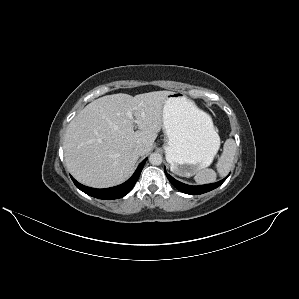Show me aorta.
I'll return each instance as SVG.
<instances>
[{
	"mask_svg": "<svg viewBox=\"0 0 299 299\" xmlns=\"http://www.w3.org/2000/svg\"><path fill=\"white\" fill-rule=\"evenodd\" d=\"M149 162L152 165H160L162 163V156L159 153H152L149 157Z\"/></svg>",
	"mask_w": 299,
	"mask_h": 299,
	"instance_id": "1",
	"label": "aorta"
}]
</instances>
